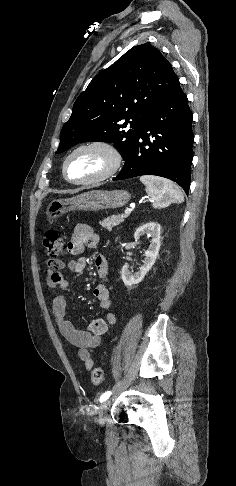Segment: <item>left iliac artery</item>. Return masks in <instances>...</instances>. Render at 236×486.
<instances>
[{
	"mask_svg": "<svg viewBox=\"0 0 236 486\" xmlns=\"http://www.w3.org/2000/svg\"><path fill=\"white\" fill-rule=\"evenodd\" d=\"M111 394H112L111 391H107V392L103 393L100 397V402L102 403V402L106 401L110 397Z\"/></svg>",
	"mask_w": 236,
	"mask_h": 486,
	"instance_id": "1",
	"label": "left iliac artery"
}]
</instances>
